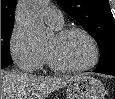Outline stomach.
<instances>
[{
  "mask_svg": "<svg viewBox=\"0 0 115 99\" xmlns=\"http://www.w3.org/2000/svg\"><path fill=\"white\" fill-rule=\"evenodd\" d=\"M105 87L101 81L90 76H78L69 82L67 99H105Z\"/></svg>",
  "mask_w": 115,
  "mask_h": 99,
  "instance_id": "stomach-1",
  "label": "stomach"
}]
</instances>
